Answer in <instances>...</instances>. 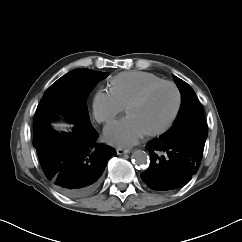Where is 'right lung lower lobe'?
I'll list each match as a JSON object with an SVG mask.
<instances>
[{
  "mask_svg": "<svg viewBox=\"0 0 242 242\" xmlns=\"http://www.w3.org/2000/svg\"><path fill=\"white\" fill-rule=\"evenodd\" d=\"M70 132L58 133L50 125L34 130L33 146L50 183L70 197L92 194L109 158L116 152L96 143L91 123H73Z\"/></svg>",
  "mask_w": 242,
  "mask_h": 242,
  "instance_id": "98d812e1",
  "label": "right lung lower lobe"
}]
</instances>
